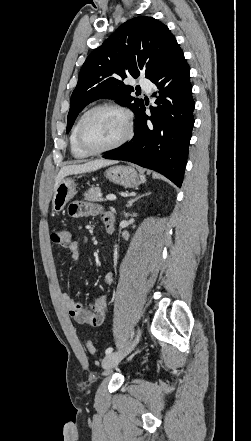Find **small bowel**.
I'll return each mask as SVG.
<instances>
[{
    "instance_id": "1",
    "label": "small bowel",
    "mask_w": 251,
    "mask_h": 441,
    "mask_svg": "<svg viewBox=\"0 0 251 441\" xmlns=\"http://www.w3.org/2000/svg\"><path fill=\"white\" fill-rule=\"evenodd\" d=\"M69 212L74 217L83 216H96L100 215L102 221L114 219L113 214L110 212H103L96 205L89 202H75L71 204ZM69 251V257L73 261L80 259V248L77 241H72L67 247ZM113 273L106 272L103 276V281L107 285L113 283ZM61 301L67 309L70 317L78 324L97 327L104 323L108 310V300L106 295H101L95 299V301L89 306H83L80 302L76 301L67 292L61 294Z\"/></svg>"
}]
</instances>
